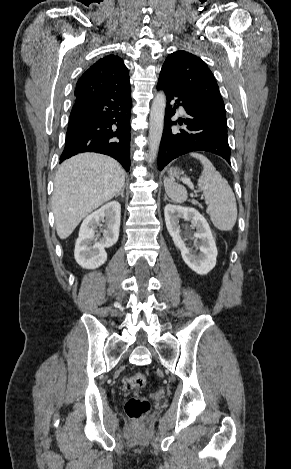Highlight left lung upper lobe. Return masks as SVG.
<instances>
[{
    "mask_svg": "<svg viewBox=\"0 0 291 469\" xmlns=\"http://www.w3.org/2000/svg\"><path fill=\"white\" fill-rule=\"evenodd\" d=\"M159 81L222 112L225 106L214 75L199 57L186 52L170 54L161 69Z\"/></svg>",
    "mask_w": 291,
    "mask_h": 469,
    "instance_id": "obj_1",
    "label": "left lung upper lobe"
}]
</instances>
